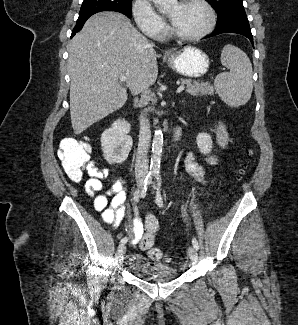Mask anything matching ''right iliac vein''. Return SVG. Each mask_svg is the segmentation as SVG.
<instances>
[{
    "label": "right iliac vein",
    "mask_w": 298,
    "mask_h": 325,
    "mask_svg": "<svg viewBox=\"0 0 298 325\" xmlns=\"http://www.w3.org/2000/svg\"><path fill=\"white\" fill-rule=\"evenodd\" d=\"M143 177L138 178L137 180V185L138 187H141L143 184ZM126 253V246L125 244H120L118 247V261L122 262V260L124 259V255Z\"/></svg>",
    "instance_id": "63e3f726"
}]
</instances>
